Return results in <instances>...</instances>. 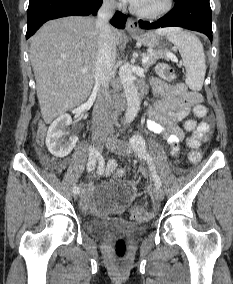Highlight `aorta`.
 I'll return each mask as SVG.
<instances>
[{
    "instance_id": "1",
    "label": "aorta",
    "mask_w": 233,
    "mask_h": 284,
    "mask_svg": "<svg viewBox=\"0 0 233 284\" xmlns=\"http://www.w3.org/2000/svg\"><path fill=\"white\" fill-rule=\"evenodd\" d=\"M119 80L123 86L124 95L127 100L124 123L128 124L135 119L140 109V97L134 84V76L129 63L125 62L120 66Z\"/></svg>"
}]
</instances>
